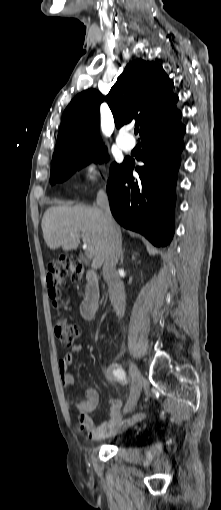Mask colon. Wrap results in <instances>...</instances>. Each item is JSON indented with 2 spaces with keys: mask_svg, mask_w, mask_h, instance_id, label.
<instances>
[{
  "mask_svg": "<svg viewBox=\"0 0 221 510\" xmlns=\"http://www.w3.org/2000/svg\"><path fill=\"white\" fill-rule=\"evenodd\" d=\"M68 278L73 281H79L82 278V267L73 257L63 255L49 262L47 275L48 294L53 307L56 309L66 306L63 299V286ZM54 332L64 347H71L80 334V327L76 322L62 318L56 321Z\"/></svg>",
  "mask_w": 221,
  "mask_h": 510,
  "instance_id": "1",
  "label": "colon"
}]
</instances>
